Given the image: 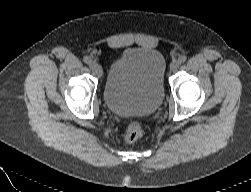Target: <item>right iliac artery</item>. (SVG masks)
I'll list each match as a JSON object with an SVG mask.
<instances>
[{
  "label": "right iliac artery",
  "instance_id": "right-iliac-artery-1",
  "mask_svg": "<svg viewBox=\"0 0 251 192\" xmlns=\"http://www.w3.org/2000/svg\"><path fill=\"white\" fill-rule=\"evenodd\" d=\"M83 61L86 63V64H90L91 63V58L89 57V56H85L84 58H83Z\"/></svg>",
  "mask_w": 251,
  "mask_h": 192
}]
</instances>
